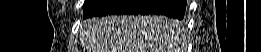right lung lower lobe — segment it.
I'll use <instances>...</instances> for the list:
<instances>
[{"mask_svg": "<svg viewBox=\"0 0 261 52\" xmlns=\"http://www.w3.org/2000/svg\"><path fill=\"white\" fill-rule=\"evenodd\" d=\"M186 4V0H106L84 14L83 18L109 14H157L181 20L185 14Z\"/></svg>", "mask_w": 261, "mask_h": 52, "instance_id": "right-lung-lower-lobe-1", "label": "right lung lower lobe"}]
</instances>
